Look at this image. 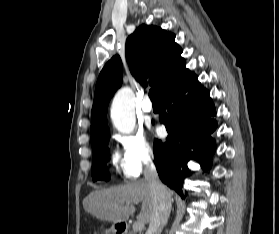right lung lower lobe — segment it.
<instances>
[{"mask_svg":"<svg viewBox=\"0 0 279 234\" xmlns=\"http://www.w3.org/2000/svg\"><path fill=\"white\" fill-rule=\"evenodd\" d=\"M160 122L169 133L166 142L155 140L154 158L161 180L183 197L187 163L195 158L206 171L211 167L217 128L216 115L209 91L197 76L185 69L160 95ZM191 149H194L192 152Z\"/></svg>","mask_w":279,"mask_h":234,"instance_id":"1","label":"right lung lower lobe"}]
</instances>
